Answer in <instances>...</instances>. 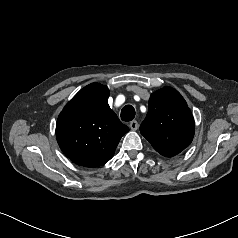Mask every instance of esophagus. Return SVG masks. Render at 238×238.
<instances>
[{"label":"esophagus","mask_w":238,"mask_h":238,"mask_svg":"<svg viewBox=\"0 0 238 238\" xmlns=\"http://www.w3.org/2000/svg\"><path fill=\"white\" fill-rule=\"evenodd\" d=\"M129 126H130L131 130L135 131L138 129V122L136 120H133L130 122Z\"/></svg>","instance_id":"34e87169"}]
</instances>
